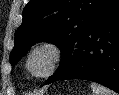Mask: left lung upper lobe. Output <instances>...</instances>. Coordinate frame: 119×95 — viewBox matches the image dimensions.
<instances>
[{"label":"left lung upper lobe","instance_id":"1","mask_svg":"<svg viewBox=\"0 0 119 95\" xmlns=\"http://www.w3.org/2000/svg\"><path fill=\"white\" fill-rule=\"evenodd\" d=\"M114 0H30L15 32L10 62L15 65L35 42H51L61 49V73L71 67L81 37ZM52 75V76H53Z\"/></svg>","mask_w":119,"mask_h":95}]
</instances>
